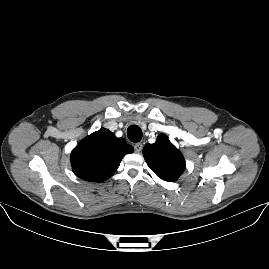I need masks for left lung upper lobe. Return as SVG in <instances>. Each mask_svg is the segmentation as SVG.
I'll return each mask as SVG.
<instances>
[{
  "mask_svg": "<svg viewBox=\"0 0 269 269\" xmlns=\"http://www.w3.org/2000/svg\"><path fill=\"white\" fill-rule=\"evenodd\" d=\"M143 155L149 168L165 181L177 180L185 170L183 155L164 134L154 144L145 145Z\"/></svg>",
  "mask_w": 269,
  "mask_h": 269,
  "instance_id": "5c2ea615",
  "label": "left lung upper lobe"
}]
</instances>
